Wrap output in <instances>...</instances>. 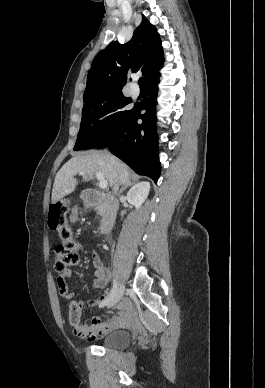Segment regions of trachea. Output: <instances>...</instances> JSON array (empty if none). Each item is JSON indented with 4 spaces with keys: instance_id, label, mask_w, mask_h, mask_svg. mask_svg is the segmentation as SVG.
<instances>
[{
    "instance_id": "obj_1",
    "label": "trachea",
    "mask_w": 265,
    "mask_h": 388,
    "mask_svg": "<svg viewBox=\"0 0 265 388\" xmlns=\"http://www.w3.org/2000/svg\"><path fill=\"white\" fill-rule=\"evenodd\" d=\"M139 85L140 86H146V80H145V78L144 77H141L140 79H139Z\"/></svg>"
}]
</instances>
